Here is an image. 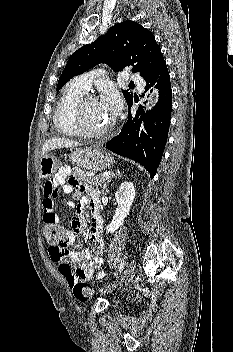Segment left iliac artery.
<instances>
[{"mask_svg": "<svg viewBox=\"0 0 233 352\" xmlns=\"http://www.w3.org/2000/svg\"><path fill=\"white\" fill-rule=\"evenodd\" d=\"M125 265H126V262H125V261H122V262L120 263L119 272H121V271L124 269Z\"/></svg>", "mask_w": 233, "mask_h": 352, "instance_id": "obj_1", "label": "left iliac artery"}]
</instances>
